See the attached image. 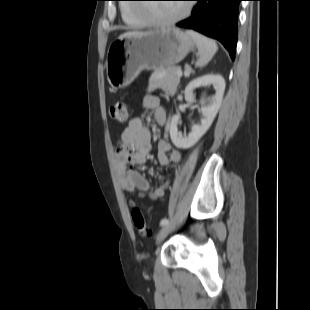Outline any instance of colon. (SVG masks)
Instances as JSON below:
<instances>
[{
	"label": "colon",
	"mask_w": 310,
	"mask_h": 310,
	"mask_svg": "<svg viewBox=\"0 0 310 310\" xmlns=\"http://www.w3.org/2000/svg\"><path fill=\"white\" fill-rule=\"evenodd\" d=\"M110 117L120 123L126 121L128 117V107L125 99H117L110 108ZM130 215L135 228L144 236H150L152 231L147 224L142 211L137 206H132Z\"/></svg>",
	"instance_id": "1"
}]
</instances>
